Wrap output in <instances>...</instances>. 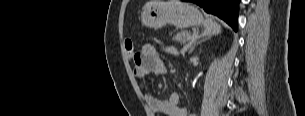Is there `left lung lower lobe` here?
<instances>
[{
    "instance_id": "0a47b994",
    "label": "left lung lower lobe",
    "mask_w": 305,
    "mask_h": 116,
    "mask_svg": "<svg viewBox=\"0 0 305 116\" xmlns=\"http://www.w3.org/2000/svg\"><path fill=\"white\" fill-rule=\"evenodd\" d=\"M240 0H189L226 21L235 31L238 25V3Z\"/></svg>"
}]
</instances>
